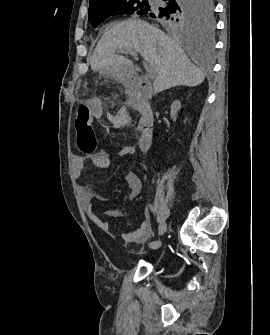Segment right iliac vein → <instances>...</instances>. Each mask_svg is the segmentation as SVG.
<instances>
[{
    "mask_svg": "<svg viewBox=\"0 0 270 335\" xmlns=\"http://www.w3.org/2000/svg\"><path fill=\"white\" fill-rule=\"evenodd\" d=\"M167 230V224L165 222H162L158 228V234L163 235Z\"/></svg>",
    "mask_w": 270,
    "mask_h": 335,
    "instance_id": "right-iliac-vein-1",
    "label": "right iliac vein"
}]
</instances>
